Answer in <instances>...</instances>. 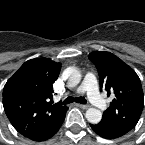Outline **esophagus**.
Returning <instances> with one entry per match:
<instances>
[{
	"instance_id": "obj_1",
	"label": "esophagus",
	"mask_w": 145,
	"mask_h": 145,
	"mask_svg": "<svg viewBox=\"0 0 145 145\" xmlns=\"http://www.w3.org/2000/svg\"><path fill=\"white\" fill-rule=\"evenodd\" d=\"M74 106L80 107V108H82V109H88V108L90 107L89 105L78 104V103H75Z\"/></svg>"
}]
</instances>
